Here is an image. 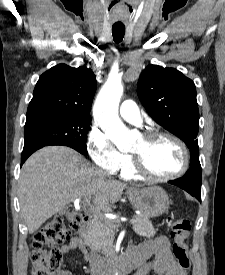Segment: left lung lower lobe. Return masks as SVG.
I'll list each match as a JSON object with an SVG mask.
<instances>
[{"label": "left lung lower lobe", "instance_id": "obj_1", "mask_svg": "<svg viewBox=\"0 0 225 275\" xmlns=\"http://www.w3.org/2000/svg\"><path fill=\"white\" fill-rule=\"evenodd\" d=\"M201 201V166L190 167L186 174L176 180L169 181Z\"/></svg>", "mask_w": 225, "mask_h": 275}]
</instances>
